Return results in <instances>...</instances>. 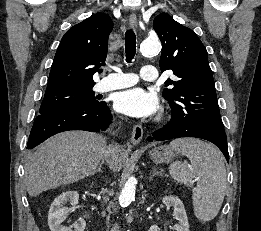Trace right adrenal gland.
I'll list each match as a JSON object with an SVG mask.
<instances>
[{
    "instance_id": "obj_1",
    "label": "right adrenal gland",
    "mask_w": 261,
    "mask_h": 231,
    "mask_svg": "<svg viewBox=\"0 0 261 231\" xmlns=\"http://www.w3.org/2000/svg\"><path fill=\"white\" fill-rule=\"evenodd\" d=\"M103 160H102V162L101 163H99V165H98V167H97V169L96 170H94L93 172H92V174L91 175H94L95 173H97V172H102V164H103Z\"/></svg>"
}]
</instances>
